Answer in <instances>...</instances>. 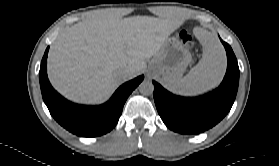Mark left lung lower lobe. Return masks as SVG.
I'll list each match as a JSON object with an SVG mask.
<instances>
[{
  "label": "left lung lower lobe",
  "instance_id": "obj_1",
  "mask_svg": "<svg viewBox=\"0 0 279 166\" xmlns=\"http://www.w3.org/2000/svg\"><path fill=\"white\" fill-rule=\"evenodd\" d=\"M227 52V71L220 86L196 98L171 94L153 81L157 111L171 130L182 134H198L220 122L230 111L238 90L239 67L232 48L221 40Z\"/></svg>",
  "mask_w": 279,
  "mask_h": 166
}]
</instances>
